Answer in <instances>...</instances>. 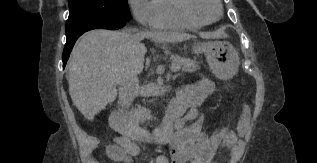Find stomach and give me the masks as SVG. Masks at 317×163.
I'll list each match as a JSON object with an SVG mask.
<instances>
[{
    "label": "stomach",
    "instance_id": "0dacf381",
    "mask_svg": "<svg viewBox=\"0 0 317 163\" xmlns=\"http://www.w3.org/2000/svg\"><path fill=\"white\" fill-rule=\"evenodd\" d=\"M192 52L197 55L204 54L210 68L220 78H230L238 70V53L227 42L209 41L195 43L192 45Z\"/></svg>",
    "mask_w": 317,
    "mask_h": 163
}]
</instances>
